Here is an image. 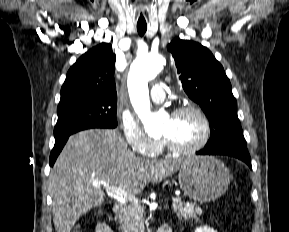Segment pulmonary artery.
Instances as JSON below:
<instances>
[{"mask_svg": "<svg viewBox=\"0 0 289 232\" xmlns=\"http://www.w3.org/2000/svg\"><path fill=\"white\" fill-rule=\"evenodd\" d=\"M150 98L155 103H161L165 99V91L160 84H156L151 88Z\"/></svg>", "mask_w": 289, "mask_h": 232, "instance_id": "e3ab8cb5", "label": "pulmonary artery"}]
</instances>
